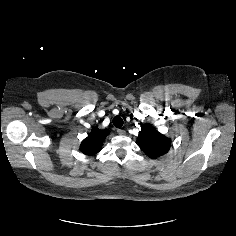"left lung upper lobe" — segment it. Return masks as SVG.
Here are the masks:
<instances>
[{"mask_svg": "<svg viewBox=\"0 0 236 236\" xmlns=\"http://www.w3.org/2000/svg\"><path fill=\"white\" fill-rule=\"evenodd\" d=\"M137 142L142 151L152 159L166 154L171 146V140L150 124L141 125Z\"/></svg>", "mask_w": 236, "mask_h": 236, "instance_id": "5c2ea615", "label": "left lung upper lobe"}]
</instances>
